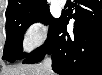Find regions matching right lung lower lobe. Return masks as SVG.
<instances>
[{
    "label": "right lung lower lobe",
    "mask_w": 102,
    "mask_h": 75,
    "mask_svg": "<svg viewBox=\"0 0 102 75\" xmlns=\"http://www.w3.org/2000/svg\"><path fill=\"white\" fill-rule=\"evenodd\" d=\"M75 19L73 33L66 31ZM62 14L45 43L27 56L23 63L40 62L51 54L53 71L59 75H102V1L75 0V13Z\"/></svg>",
    "instance_id": "right-lung-lower-lobe-1"
}]
</instances>
